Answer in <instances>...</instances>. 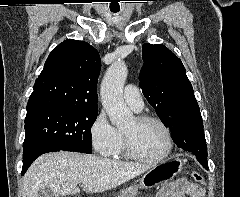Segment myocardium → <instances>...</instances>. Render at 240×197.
I'll return each instance as SVG.
<instances>
[{"label":"myocardium","mask_w":240,"mask_h":197,"mask_svg":"<svg viewBox=\"0 0 240 197\" xmlns=\"http://www.w3.org/2000/svg\"><path fill=\"white\" fill-rule=\"evenodd\" d=\"M135 119L139 123H143V122H147V121H154V122L158 123L165 131V134L167 137V148H166L165 152L159 156H156V157L146 156L136 149L130 136L127 135L125 132H123L122 135H123V139H124V145H125L126 152L132 158H134L136 160L148 162V163L160 162V161L168 158L170 156V154L172 153L173 147H174L172 131H171L170 127L168 126V124L160 117H158L156 115H152V114H140V115L136 116Z\"/></svg>","instance_id":"obj_1"}]
</instances>
